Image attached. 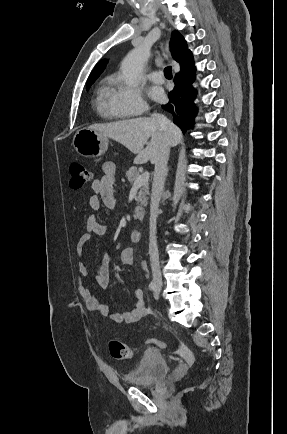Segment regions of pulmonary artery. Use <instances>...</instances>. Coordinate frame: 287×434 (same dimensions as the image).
Returning a JSON list of instances; mask_svg holds the SVG:
<instances>
[{"label": "pulmonary artery", "instance_id": "1", "mask_svg": "<svg viewBox=\"0 0 287 434\" xmlns=\"http://www.w3.org/2000/svg\"><path fill=\"white\" fill-rule=\"evenodd\" d=\"M150 80L156 83H162L164 81V77L161 71H153L149 74Z\"/></svg>", "mask_w": 287, "mask_h": 434}]
</instances>
